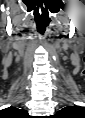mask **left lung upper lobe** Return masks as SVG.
<instances>
[{"label": "left lung upper lobe", "mask_w": 85, "mask_h": 118, "mask_svg": "<svg viewBox=\"0 0 85 118\" xmlns=\"http://www.w3.org/2000/svg\"><path fill=\"white\" fill-rule=\"evenodd\" d=\"M75 107H71V106H68V107H65L63 109H61L58 114H61V115H64V114H68L70 113Z\"/></svg>", "instance_id": "left-lung-upper-lobe-1"}]
</instances>
